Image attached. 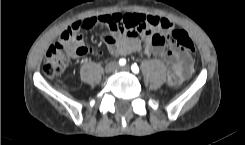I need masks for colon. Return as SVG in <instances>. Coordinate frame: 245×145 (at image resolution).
<instances>
[{"mask_svg": "<svg viewBox=\"0 0 245 145\" xmlns=\"http://www.w3.org/2000/svg\"><path fill=\"white\" fill-rule=\"evenodd\" d=\"M95 18L91 19V23L95 24ZM80 29L77 23L68 26L62 33L61 37L47 52L43 62L42 70L45 76L52 78L60 75L68 64L71 57L83 56L87 53V48L77 45ZM157 34L155 40L158 44H164L166 40L186 48L189 51H195V44L191 37L179 28H173L166 35L159 33V29H155Z\"/></svg>", "mask_w": 245, "mask_h": 145, "instance_id": "obj_1", "label": "colon"}]
</instances>
